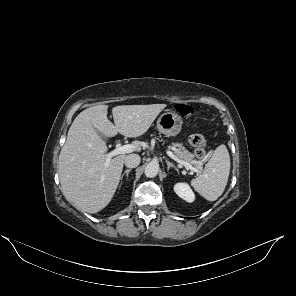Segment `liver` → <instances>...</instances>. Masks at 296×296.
Returning a JSON list of instances; mask_svg holds the SVG:
<instances>
[{"label":"liver","instance_id":"obj_1","mask_svg":"<svg viewBox=\"0 0 296 296\" xmlns=\"http://www.w3.org/2000/svg\"><path fill=\"white\" fill-rule=\"evenodd\" d=\"M166 104L120 105L112 109L115 125L108 120L107 105L83 110L69 128L60 151L58 173L63 195L78 210L97 213L113 198L121 179L126 155L121 154L106 165V137L120 133L126 137L143 135ZM140 151L143 143L132 144Z\"/></svg>","mask_w":296,"mask_h":296}]
</instances>
